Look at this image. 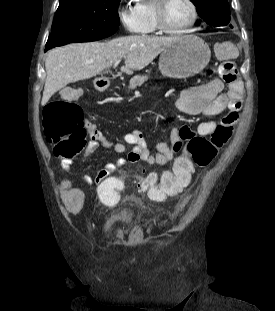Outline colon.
I'll list each match as a JSON object with an SVG mask.
<instances>
[{
	"instance_id": "obj_1",
	"label": "colon",
	"mask_w": 275,
	"mask_h": 311,
	"mask_svg": "<svg viewBox=\"0 0 275 311\" xmlns=\"http://www.w3.org/2000/svg\"><path fill=\"white\" fill-rule=\"evenodd\" d=\"M222 46L218 44L215 50L220 57L223 54L220 50ZM219 74L225 82L233 81L236 78L234 63L223 60L219 65ZM66 95L67 98L52 101L45 107L43 127L47 142L53 146L54 155L59 159L70 160L87 148L89 130L83 111L75 102L79 91L74 90ZM232 120L222 118L209 138L192 135L176 159L173 170L163 172L159 182L153 174L140 179V190L156 202L179 194L189 183L194 169L210 166L219 150L228 143L233 133ZM96 188L100 202L115 203L123 185L117 175H108L102 179V183H97Z\"/></svg>"
}]
</instances>
